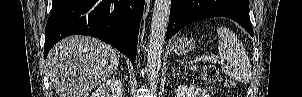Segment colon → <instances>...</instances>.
<instances>
[{
  "label": "colon",
  "mask_w": 302,
  "mask_h": 97,
  "mask_svg": "<svg viewBox=\"0 0 302 97\" xmlns=\"http://www.w3.org/2000/svg\"><path fill=\"white\" fill-rule=\"evenodd\" d=\"M202 76L206 82L216 83L219 81V74L214 67L207 66L202 71ZM227 88H231L234 85V82L230 79H226L224 82Z\"/></svg>",
  "instance_id": "colon-1"
}]
</instances>
